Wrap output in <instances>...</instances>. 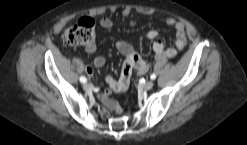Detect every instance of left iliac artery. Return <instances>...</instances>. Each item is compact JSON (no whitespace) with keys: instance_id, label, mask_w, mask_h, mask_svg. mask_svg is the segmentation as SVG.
Instances as JSON below:
<instances>
[{"instance_id":"44dca946","label":"left iliac artery","mask_w":247,"mask_h":145,"mask_svg":"<svg viewBox=\"0 0 247 145\" xmlns=\"http://www.w3.org/2000/svg\"><path fill=\"white\" fill-rule=\"evenodd\" d=\"M150 78L154 80L156 78V74L155 73L151 74Z\"/></svg>"}]
</instances>
